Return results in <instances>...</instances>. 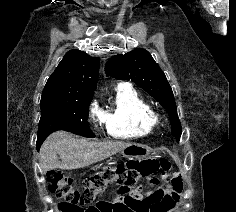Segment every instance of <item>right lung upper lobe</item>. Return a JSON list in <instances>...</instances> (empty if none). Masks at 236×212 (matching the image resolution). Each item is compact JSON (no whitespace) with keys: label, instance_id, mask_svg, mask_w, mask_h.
<instances>
[{"label":"right lung upper lobe","instance_id":"cb5924a9","mask_svg":"<svg viewBox=\"0 0 236 212\" xmlns=\"http://www.w3.org/2000/svg\"><path fill=\"white\" fill-rule=\"evenodd\" d=\"M99 59L70 50L49 77L41 100L92 97L97 86Z\"/></svg>","mask_w":236,"mask_h":212}]
</instances>
